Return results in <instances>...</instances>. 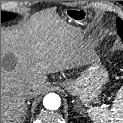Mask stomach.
Returning a JSON list of instances; mask_svg holds the SVG:
<instances>
[{
	"label": "stomach",
	"mask_w": 123,
	"mask_h": 123,
	"mask_svg": "<svg viewBox=\"0 0 123 123\" xmlns=\"http://www.w3.org/2000/svg\"><path fill=\"white\" fill-rule=\"evenodd\" d=\"M60 16L76 24H83L86 13L77 9L60 12ZM108 81V72L100 60L92 56L88 67L76 79L65 80L61 86L72 96H76L83 104H89L98 99L103 85Z\"/></svg>",
	"instance_id": "obj_1"
}]
</instances>
